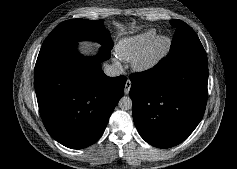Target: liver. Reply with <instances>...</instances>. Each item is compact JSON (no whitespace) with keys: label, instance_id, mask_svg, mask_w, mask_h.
<instances>
[{"label":"liver","instance_id":"1","mask_svg":"<svg viewBox=\"0 0 237 169\" xmlns=\"http://www.w3.org/2000/svg\"><path fill=\"white\" fill-rule=\"evenodd\" d=\"M81 47L79 48V52L83 55H89L93 54L95 52V46L94 43H81Z\"/></svg>","mask_w":237,"mask_h":169}]
</instances>
